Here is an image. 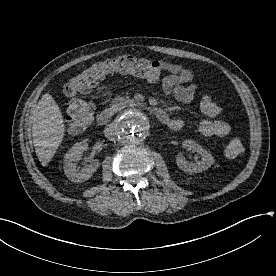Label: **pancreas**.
Returning <instances> with one entry per match:
<instances>
[{"instance_id":"obj_1","label":"pancreas","mask_w":276,"mask_h":276,"mask_svg":"<svg viewBox=\"0 0 276 276\" xmlns=\"http://www.w3.org/2000/svg\"><path fill=\"white\" fill-rule=\"evenodd\" d=\"M134 105H135V101L129 98L128 96L127 97L117 96L114 99H112L110 104L111 108L115 111H120L125 107L134 106Z\"/></svg>"}]
</instances>
